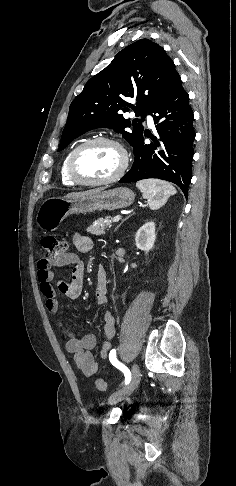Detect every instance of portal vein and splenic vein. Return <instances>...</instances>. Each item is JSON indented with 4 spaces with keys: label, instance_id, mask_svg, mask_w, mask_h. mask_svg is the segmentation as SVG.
Returning <instances> with one entry per match:
<instances>
[{
    "label": "portal vein and splenic vein",
    "instance_id": "1",
    "mask_svg": "<svg viewBox=\"0 0 236 486\" xmlns=\"http://www.w3.org/2000/svg\"><path fill=\"white\" fill-rule=\"evenodd\" d=\"M120 219H121V216L117 215V216L114 217L113 222H118V221H120Z\"/></svg>",
    "mask_w": 236,
    "mask_h": 486
}]
</instances>
